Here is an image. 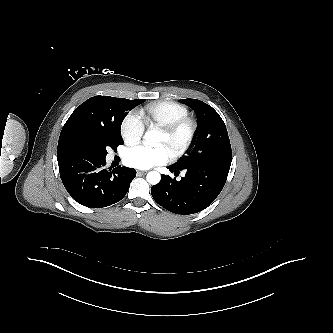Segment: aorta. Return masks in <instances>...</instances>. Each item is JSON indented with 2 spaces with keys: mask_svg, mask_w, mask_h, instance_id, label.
Segmentation results:
<instances>
[{
  "mask_svg": "<svg viewBox=\"0 0 333 333\" xmlns=\"http://www.w3.org/2000/svg\"><path fill=\"white\" fill-rule=\"evenodd\" d=\"M162 137V133L158 130H148L144 135V141L148 145H154L159 142ZM146 180L151 185H156L161 180V175L156 171H151L147 174Z\"/></svg>",
  "mask_w": 333,
  "mask_h": 333,
  "instance_id": "762f6f07",
  "label": "aorta"
}]
</instances>
